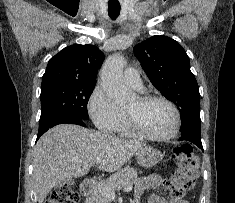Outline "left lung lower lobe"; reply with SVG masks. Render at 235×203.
Returning <instances> with one entry per match:
<instances>
[{"instance_id":"0a47b994","label":"left lung lower lobe","mask_w":235,"mask_h":203,"mask_svg":"<svg viewBox=\"0 0 235 203\" xmlns=\"http://www.w3.org/2000/svg\"><path fill=\"white\" fill-rule=\"evenodd\" d=\"M179 140L180 141H182V140L190 141L193 144L197 145L203 151V146H202V143H201V134L182 133Z\"/></svg>"}]
</instances>
